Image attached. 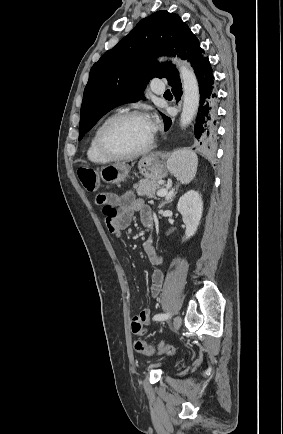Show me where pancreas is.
<instances>
[{
    "label": "pancreas",
    "instance_id": "cf45deb5",
    "mask_svg": "<svg viewBox=\"0 0 283 434\" xmlns=\"http://www.w3.org/2000/svg\"><path fill=\"white\" fill-rule=\"evenodd\" d=\"M133 188L140 196H147L154 198L157 191L160 189V185L155 181L148 179H141L138 184H135Z\"/></svg>",
    "mask_w": 283,
    "mask_h": 434
}]
</instances>
